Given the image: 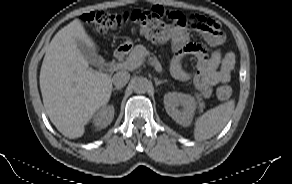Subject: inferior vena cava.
I'll use <instances>...</instances> for the list:
<instances>
[{"label": "inferior vena cava", "mask_w": 292, "mask_h": 184, "mask_svg": "<svg viewBox=\"0 0 292 184\" xmlns=\"http://www.w3.org/2000/svg\"><path fill=\"white\" fill-rule=\"evenodd\" d=\"M130 79V74L127 71H119L114 74L112 82L116 87H124Z\"/></svg>", "instance_id": "obj_1"}]
</instances>
